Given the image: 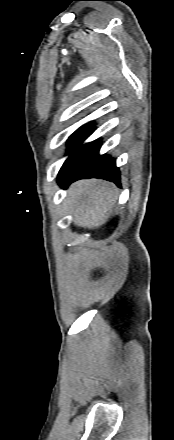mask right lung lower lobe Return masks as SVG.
Returning a JSON list of instances; mask_svg holds the SVG:
<instances>
[{"mask_svg": "<svg viewBox=\"0 0 174 440\" xmlns=\"http://www.w3.org/2000/svg\"><path fill=\"white\" fill-rule=\"evenodd\" d=\"M100 140L87 145V149L76 169L68 176L58 180L59 185L66 188L71 182L83 178H102L114 182L120 187V171L114 158L99 155Z\"/></svg>", "mask_w": 174, "mask_h": 440, "instance_id": "obj_1", "label": "right lung lower lobe"}]
</instances>
